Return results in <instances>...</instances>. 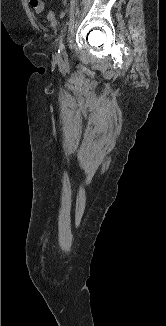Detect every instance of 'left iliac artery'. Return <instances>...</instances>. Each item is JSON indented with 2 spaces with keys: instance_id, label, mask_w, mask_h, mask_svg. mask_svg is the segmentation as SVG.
I'll list each match as a JSON object with an SVG mask.
<instances>
[{
  "instance_id": "left-iliac-artery-1",
  "label": "left iliac artery",
  "mask_w": 166,
  "mask_h": 326,
  "mask_svg": "<svg viewBox=\"0 0 166 326\" xmlns=\"http://www.w3.org/2000/svg\"><path fill=\"white\" fill-rule=\"evenodd\" d=\"M66 34V26L63 28V30L61 31L60 35H59V50L58 53H60V48H62L63 45V39L65 37Z\"/></svg>"
}]
</instances>
